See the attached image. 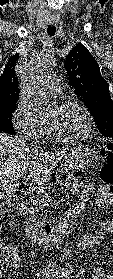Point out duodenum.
I'll use <instances>...</instances> for the list:
<instances>
[{"instance_id":"duodenum-1","label":"duodenum","mask_w":113,"mask_h":279,"mask_svg":"<svg viewBox=\"0 0 113 279\" xmlns=\"http://www.w3.org/2000/svg\"><path fill=\"white\" fill-rule=\"evenodd\" d=\"M83 205L71 208L66 211L56 224L45 225L43 227L35 226L28 220L25 223L24 233L33 243L46 248L50 245L59 243L62 238L70 231L74 222L81 214ZM26 213L25 211H23ZM82 244H87V238L80 240Z\"/></svg>"}]
</instances>
